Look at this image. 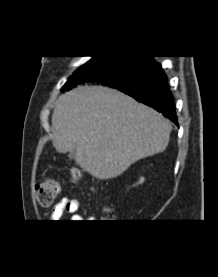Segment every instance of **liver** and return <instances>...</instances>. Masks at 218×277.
<instances>
[{
  "mask_svg": "<svg viewBox=\"0 0 218 277\" xmlns=\"http://www.w3.org/2000/svg\"><path fill=\"white\" fill-rule=\"evenodd\" d=\"M170 122L154 109L104 86L61 95L52 114V144L75 150V161L100 180L121 175L134 162L163 152Z\"/></svg>",
  "mask_w": 218,
  "mask_h": 277,
  "instance_id": "1",
  "label": "liver"
}]
</instances>
